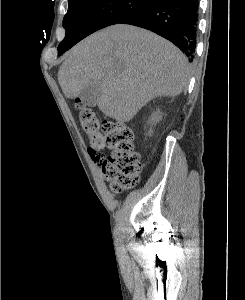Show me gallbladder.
<instances>
[{
  "mask_svg": "<svg viewBox=\"0 0 245 300\" xmlns=\"http://www.w3.org/2000/svg\"><path fill=\"white\" fill-rule=\"evenodd\" d=\"M100 94V83H91L82 90L80 97L85 105L95 107Z\"/></svg>",
  "mask_w": 245,
  "mask_h": 300,
  "instance_id": "gallbladder-1",
  "label": "gallbladder"
}]
</instances>
